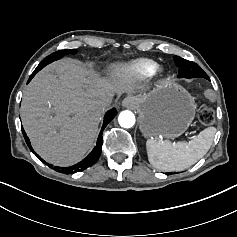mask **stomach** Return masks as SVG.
<instances>
[{"instance_id": "1", "label": "stomach", "mask_w": 237, "mask_h": 237, "mask_svg": "<svg viewBox=\"0 0 237 237\" xmlns=\"http://www.w3.org/2000/svg\"><path fill=\"white\" fill-rule=\"evenodd\" d=\"M132 96L144 136L175 139L186 132L195 118L194 97L172 80H164L150 91L136 89Z\"/></svg>"}]
</instances>
